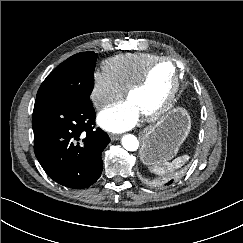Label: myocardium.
<instances>
[{
  "instance_id": "1",
  "label": "myocardium",
  "mask_w": 243,
  "mask_h": 243,
  "mask_svg": "<svg viewBox=\"0 0 243 243\" xmlns=\"http://www.w3.org/2000/svg\"><path fill=\"white\" fill-rule=\"evenodd\" d=\"M161 62H169L173 65L174 67V78L172 81V85L170 87V90L168 91L166 97L164 98V100L154 109L143 113V116L147 119V120H154L159 118L162 114H164L167 109L170 107V105L172 104L175 95L179 89V85H180V71L179 68L177 66V62L175 59H173L172 57H168V56H159L157 58H155L153 61H151L143 70V72L141 73V75L135 79L125 90V95L128 98L134 91L138 90L139 88H141L142 86L145 85V83L147 82L150 73L152 71V69Z\"/></svg>"
}]
</instances>
